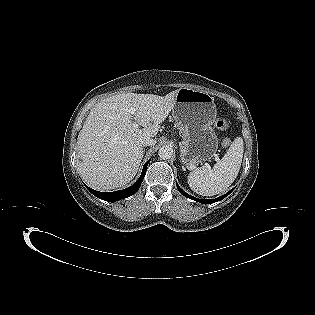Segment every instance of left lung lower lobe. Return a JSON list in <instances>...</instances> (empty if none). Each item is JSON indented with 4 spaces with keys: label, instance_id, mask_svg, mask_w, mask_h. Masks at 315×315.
<instances>
[{
    "label": "left lung lower lobe",
    "instance_id": "obj_1",
    "mask_svg": "<svg viewBox=\"0 0 315 315\" xmlns=\"http://www.w3.org/2000/svg\"><path fill=\"white\" fill-rule=\"evenodd\" d=\"M177 188H178L179 192H180L182 195H184V196H186V197H188V198H190V199H192V200H195V201H197V202L204 203V204H211V203L220 201V200L224 199L226 196H228V195L233 191V189H232V190H230L229 192H227L225 195L220 196V197H218V198H216V199L204 200V199H199V198H196V197H193V196L189 195L188 193H186L185 191H183V190L178 186V184H177Z\"/></svg>",
    "mask_w": 315,
    "mask_h": 315
}]
</instances>
